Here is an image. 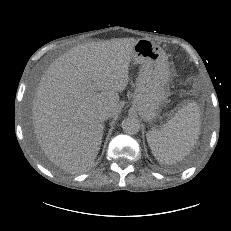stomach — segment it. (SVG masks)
Returning a JSON list of instances; mask_svg holds the SVG:
<instances>
[{"label":"stomach","instance_id":"obj_1","mask_svg":"<svg viewBox=\"0 0 231 231\" xmlns=\"http://www.w3.org/2000/svg\"><path fill=\"white\" fill-rule=\"evenodd\" d=\"M141 66L132 107L146 122L152 123L168 96L170 72L165 51L148 39H138L131 59Z\"/></svg>","mask_w":231,"mask_h":231}]
</instances>
